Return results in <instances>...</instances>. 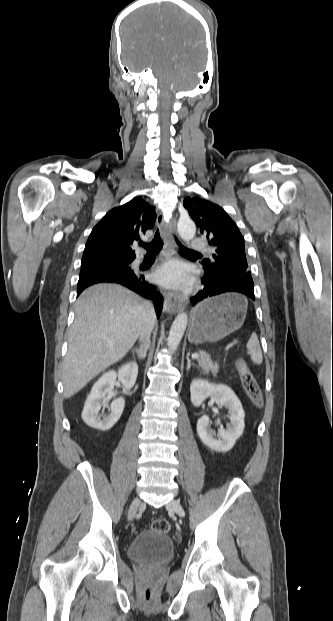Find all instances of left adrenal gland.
<instances>
[{"label":"left adrenal gland","mask_w":333,"mask_h":621,"mask_svg":"<svg viewBox=\"0 0 333 621\" xmlns=\"http://www.w3.org/2000/svg\"><path fill=\"white\" fill-rule=\"evenodd\" d=\"M189 356H190V351L188 352V354L186 356V359H187V368H186V370H187V372L190 370L191 366L198 368V366L195 363H191V360H190Z\"/></svg>","instance_id":"obj_1"}]
</instances>
